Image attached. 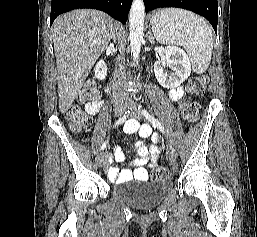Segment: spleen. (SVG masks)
<instances>
[{
	"label": "spleen",
	"instance_id": "obj_1",
	"mask_svg": "<svg viewBox=\"0 0 257 237\" xmlns=\"http://www.w3.org/2000/svg\"><path fill=\"white\" fill-rule=\"evenodd\" d=\"M152 32L161 44L186 50L193 71L204 73L211 61L213 35L207 22L183 9H162L151 18Z\"/></svg>",
	"mask_w": 257,
	"mask_h": 237
}]
</instances>
